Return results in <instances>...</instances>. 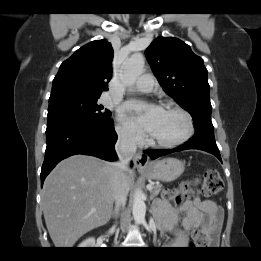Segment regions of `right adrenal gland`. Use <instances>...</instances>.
<instances>
[{
	"instance_id": "1",
	"label": "right adrenal gland",
	"mask_w": 261,
	"mask_h": 261,
	"mask_svg": "<svg viewBox=\"0 0 261 261\" xmlns=\"http://www.w3.org/2000/svg\"><path fill=\"white\" fill-rule=\"evenodd\" d=\"M118 214H119V208L118 206H116L115 209L112 211L111 217L117 219Z\"/></svg>"
}]
</instances>
